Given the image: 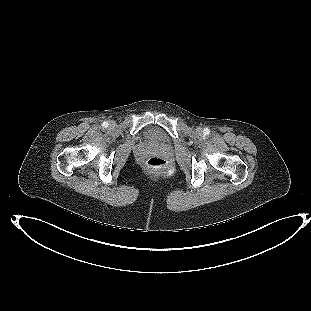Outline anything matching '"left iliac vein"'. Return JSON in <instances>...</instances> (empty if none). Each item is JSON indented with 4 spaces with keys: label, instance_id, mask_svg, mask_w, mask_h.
I'll return each instance as SVG.
<instances>
[{
    "label": "left iliac vein",
    "instance_id": "1",
    "mask_svg": "<svg viewBox=\"0 0 311 311\" xmlns=\"http://www.w3.org/2000/svg\"><path fill=\"white\" fill-rule=\"evenodd\" d=\"M196 131H197V133L201 134V133H202V128H201V127H198V128L196 129Z\"/></svg>",
    "mask_w": 311,
    "mask_h": 311
}]
</instances>
